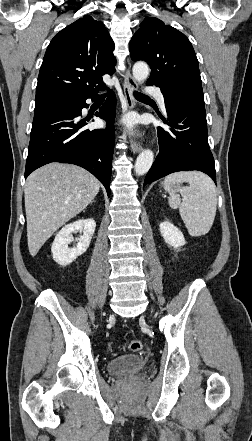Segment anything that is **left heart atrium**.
I'll use <instances>...</instances> for the list:
<instances>
[{
	"instance_id": "39dd6f15",
	"label": "left heart atrium",
	"mask_w": 252,
	"mask_h": 441,
	"mask_svg": "<svg viewBox=\"0 0 252 441\" xmlns=\"http://www.w3.org/2000/svg\"><path fill=\"white\" fill-rule=\"evenodd\" d=\"M124 122H125V124H126L127 126H132L133 123H134V118L131 117V116H129V117H127V118L124 120Z\"/></svg>"
}]
</instances>
